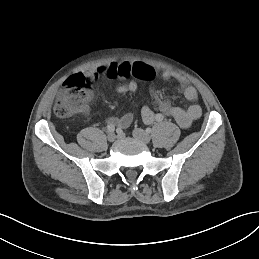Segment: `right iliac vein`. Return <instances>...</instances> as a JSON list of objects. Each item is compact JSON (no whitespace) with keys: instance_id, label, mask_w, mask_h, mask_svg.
Instances as JSON below:
<instances>
[{"instance_id":"right-iliac-vein-1","label":"right iliac vein","mask_w":259,"mask_h":259,"mask_svg":"<svg viewBox=\"0 0 259 259\" xmlns=\"http://www.w3.org/2000/svg\"><path fill=\"white\" fill-rule=\"evenodd\" d=\"M107 139L110 142H113L116 139V135L113 132L108 133Z\"/></svg>"}]
</instances>
